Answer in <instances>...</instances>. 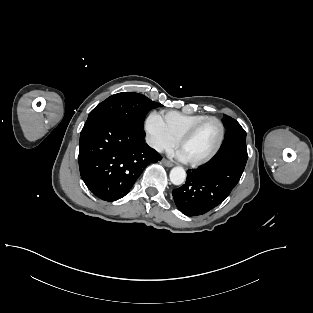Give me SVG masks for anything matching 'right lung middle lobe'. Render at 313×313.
Listing matches in <instances>:
<instances>
[{
    "label": "right lung middle lobe",
    "mask_w": 313,
    "mask_h": 313,
    "mask_svg": "<svg viewBox=\"0 0 313 313\" xmlns=\"http://www.w3.org/2000/svg\"><path fill=\"white\" fill-rule=\"evenodd\" d=\"M160 106V103L153 102L142 94L122 92L114 94L98 104L90 112L86 122H91L99 117H112L143 131L146 114L151 109Z\"/></svg>",
    "instance_id": "obj_1"
}]
</instances>
